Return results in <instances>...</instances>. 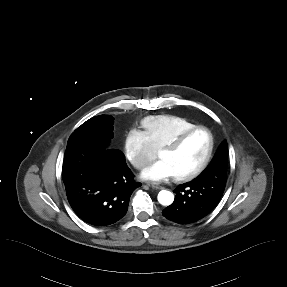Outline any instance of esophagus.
I'll list each match as a JSON object with an SVG mask.
<instances>
[{
    "mask_svg": "<svg viewBox=\"0 0 287 287\" xmlns=\"http://www.w3.org/2000/svg\"><path fill=\"white\" fill-rule=\"evenodd\" d=\"M148 186L151 187L152 189H162L163 188L162 186H158L155 184H148Z\"/></svg>",
    "mask_w": 287,
    "mask_h": 287,
    "instance_id": "esophagus-1",
    "label": "esophagus"
}]
</instances>
